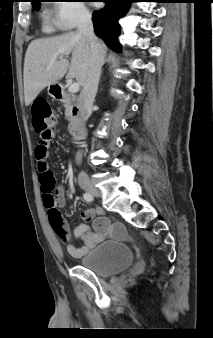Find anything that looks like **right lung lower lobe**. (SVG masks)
<instances>
[{"label": "right lung lower lobe", "mask_w": 213, "mask_h": 338, "mask_svg": "<svg viewBox=\"0 0 213 338\" xmlns=\"http://www.w3.org/2000/svg\"><path fill=\"white\" fill-rule=\"evenodd\" d=\"M105 7L95 11L93 25L95 33L114 51H120L118 19L125 15L130 3L135 0H103Z\"/></svg>", "instance_id": "right-lung-lower-lobe-1"}]
</instances>
